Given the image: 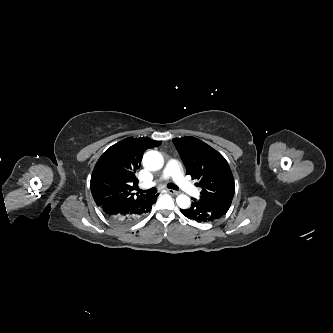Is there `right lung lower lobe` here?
I'll return each mask as SVG.
<instances>
[{
	"label": "right lung lower lobe",
	"instance_id": "98d812e1",
	"mask_svg": "<svg viewBox=\"0 0 333 333\" xmlns=\"http://www.w3.org/2000/svg\"><path fill=\"white\" fill-rule=\"evenodd\" d=\"M157 195H147L134 201L116 200L102 205L103 213L115 223L132 224L151 210Z\"/></svg>",
	"mask_w": 333,
	"mask_h": 333
}]
</instances>
